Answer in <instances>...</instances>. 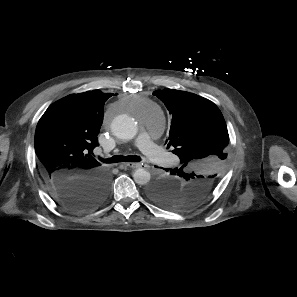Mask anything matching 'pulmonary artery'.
Returning <instances> with one entry per match:
<instances>
[{"mask_svg": "<svg viewBox=\"0 0 297 297\" xmlns=\"http://www.w3.org/2000/svg\"><path fill=\"white\" fill-rule=\"evenodd\" d=\"M157 128L156 123L148 120L144 129L138 135L137 147L153 163L163 167H170L175 162V158L171 154L164 152L152 140V134Z\"/></svg>", "mask_w": 297, "mask_h": 297, "instance_id": "1", "label": "pulmonary artery"}]
</instances>
